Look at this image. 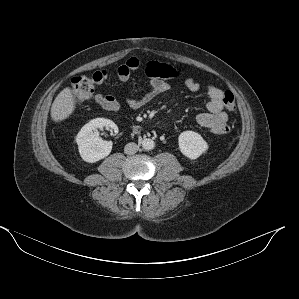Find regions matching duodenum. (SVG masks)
<instances>
[{
  "label": "duodenum",
  "instance_id": "410a0bca",
  "mask_svg": "<svg viewBox=\"0 0 299 299\" xmlns=\"http://www.w3.org/2000/svg\"><path fill=\"white\" fill-rule=\"evenodd\" d=\"M133 130H134L135 132L139 133V132H140V127L137 126V125H135V126L133 127Z\"/></svg>",
  "mask_w": 299,
  "mask_h": 299
}]
</instances>
